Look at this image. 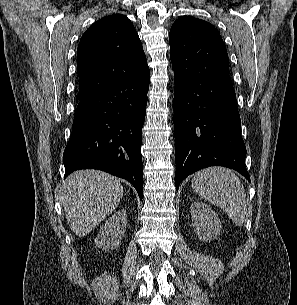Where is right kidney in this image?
<instances>
[{"label":"right kidney","instance_id":"1","mask_svg":"<svg viewBox=\"0 0 297 305\" xmlns=\"http://www.w3.org/2000/svg\"><path fill=\"white\" fill-rule=\"evenodd\" d=\"M127 225V214L125 210L115 212L102 226L95 244L105 250H113L124 236Z\"/></svg>","mask_w":297,"mask_h":305}]
</instances>
